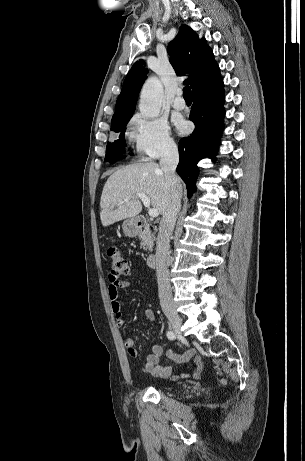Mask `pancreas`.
<instances>
[{
  "label": "pancreas",
  "mask_w": 305,
  "mask_h": 461,
  "mask_svg": "<svg viewBox=\"0 0 305 461\" xmlns=\"http://www.w3.org/2000/svg\"><path fill=\"white\" fill-rule=\"evenodd\" d=\"M154 245V235H151L150 233H146L142 236V240L140 243L141 248L143 250L147 251H152Z\"/></svg>",
  "instance_id": "cf45deb5"
}]
</instances>
